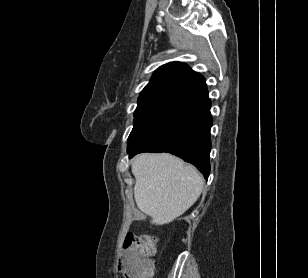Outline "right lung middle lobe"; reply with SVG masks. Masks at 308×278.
I'll list each match as a JSON object with an SVG mask.
<instances>
[{
  "label": "right lung middle lobe",
  "mask_w": 308,
  "mask_h": 278,
  "mask_svg": "<svg viewBox=\"0 0 308 278\" xmlns=\"http://www.w3.org/2000/svg\"><path fill=\"white\" fill-rule=\"evenodd\" d=\"M134 127L129 135L127 151L155 135L163 129L176 115L173 114H148L134 116Z\"/></svg>",
  "instance_id": "obj_1"
}]
</instances>
